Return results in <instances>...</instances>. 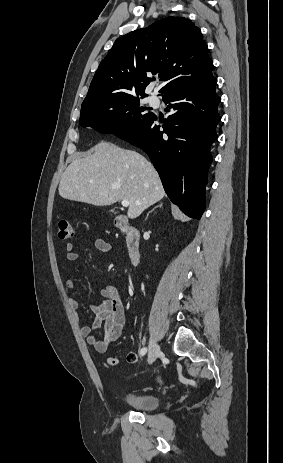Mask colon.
I'll list each match as a JSON object with an SVG mask.
<instances>
[{
	"mask_svg": "<svg viewBox=\"0 0 283 463\" xmlns=\"http://www.w3.org/2000/svg\"><path fill=\"white\" fill-rule=\"evenodd\" d=\"M73 236V228L71 222L67 219H61L58 223V237L62 240L69 239ZM128 362H136L137 356L133 353H128L126 356Z\"/></svg>",
	"mask_w": 283,
	"mask_h": 463,
	"instance_id": "5ec220e1",
	"label": "colon"
}]
</instances>
